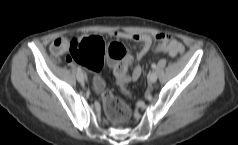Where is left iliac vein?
<instances>
[{
	"mask_svg": "<svg viewBox=\"0 0 238 145\" xmlns=\"http://www.w3.org/2000/svg\"><path fill=\"white\" fill-rule=\"evenodd\" d=\"M157 78H158L157 74H156L155 72H152V73L149 75V77H148V81H149L151 84H153V83H155V82L157 81Z\"/></svg>",
	"mask_w": 238,
	"mask_h": 145,
	"instance_id": "obj_1",
	"label": "left iliac vein"
}]
</instances>
